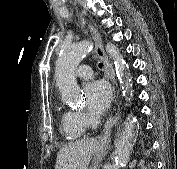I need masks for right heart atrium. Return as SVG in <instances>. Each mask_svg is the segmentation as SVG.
<instances>
[{
    "label": "right heart atrium",
    "mask_w": 177,
    "mask_h": 169,
    "mask_svg": "<svg viewBox=\"0 0 177 169\" xmlns=\"http://www.w3.org/2000/svg\"><path fill=\"white\" fill-rule=\"evenodd\" d=\"M75 120L77 122L78 125L80 126H88L90 124V119L87 115H85L82 112H75Z\"/></svg>",
    "instance_id": "1"
}]
</instances>
